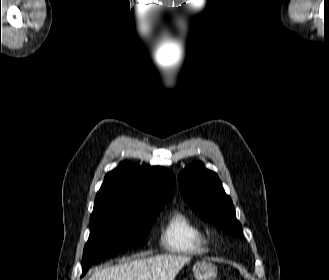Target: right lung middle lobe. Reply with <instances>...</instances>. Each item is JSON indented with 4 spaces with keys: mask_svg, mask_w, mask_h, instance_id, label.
<instances>
[{
    "mask_svg": "<svg viewBox=\"0 0 329 280\" xmlns=\"http://www.w3.org/2000/svg\"><path fill=\"white\" fill-rule=\"evenodd\" d=\"M167 200L146 206L109 201L94 206L90 236L84 247L82 276L92 264L127 247L141 244Z\"/></svg>",
    "mask_w": 329,
    "mask_h": 280,
    "instance_id": "1",
    "label": "right lung middle lobe"
}]
</instances>
